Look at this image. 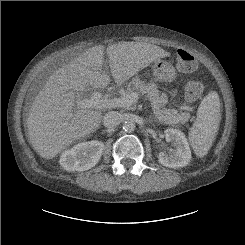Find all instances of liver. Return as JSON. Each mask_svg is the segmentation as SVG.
Returning <instances> with one entry per match:
<instances>
[{
  "instance_id": "obj_1",
  "label": "liver",
  "mask_w": 245,
  "mask_h": 245,
  "mask_svg": "<svg viewBox=\"0 0 245 245\" xmlns=\"http://www.w3.org/2000/svg\"><path fill=\"white\" fill-rule=\"evenodd\" d=\"M105 53L117 84L126 82L150 63L170 56L156 45L119 42L106 50L103 45L89 48L56 70L35 97L27 119L30 143L41 157L54 158L100 126L101 111L78 108L68 94L80 95L89 87L104 88L110 83V77L102 70Z\"/></svg>"
}]
</instances>
